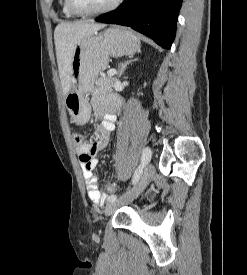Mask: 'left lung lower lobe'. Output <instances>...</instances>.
<instances>
[{
	"instance_id": "left-lung-lower-lobe-1",
	"label": "left lung lower lobe",
	"mask_w": 247,
	"mask_h": 275,
	"mask_svg": "<svg viewBox=\"0 0 247 275\" xmlns=\"http://www.w3.org/2000/svg\"><path fill=\"white\" fill-rule=\"evenodd\" d=\"M182 0H125L114 11L95 20L129 26L170 49L176 34V23Z\"/></svg>"
}]
</instances>
